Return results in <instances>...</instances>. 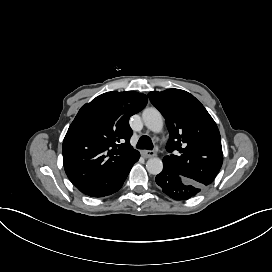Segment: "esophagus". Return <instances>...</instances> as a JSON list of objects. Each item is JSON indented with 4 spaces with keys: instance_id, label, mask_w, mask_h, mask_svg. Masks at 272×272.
Returning <instances> with one entry per match:
<instances>
[{
    "instance_id": "1",
    "label": "esophagus",
    "mask_w": 272,
    "mask_h": 272,
    "mask_svg": "<svg viewBox=\"0 0 272 272\" xmlns=\"http://www.w3.org/2000/svg\"><path fill=\"white\" fill-rule=\"evenodd\" d=\"M141 155L144 158H150V157H155L157 154L155 151H151V150H142L141 151Z\"/></svg>"
}]
</instances>
